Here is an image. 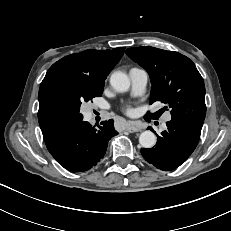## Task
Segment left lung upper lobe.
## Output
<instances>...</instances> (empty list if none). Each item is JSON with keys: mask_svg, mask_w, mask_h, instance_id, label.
I'll list each match as a JSON object with an SVG mask.
<instances>
[{"mask_svg": "<svg viewBox=\"0 0 231 231\" xmlns=\"http://www.w3.org/2000/svg\"><path fill=\"white\" fill-rule=\"evenodd\" d=\"M126 54L149 74L152 89L150 104L160 101L170 108L171 120L198 130L206 115L204 81L186 56L154 47L129 48ZM167 106L146 117L157 119Z\"/></svg>", "mask_w": 231, "mask_h": 231, "instance_id": "left-lung-upper-lobe-1", "label": "left lung upper lobe"}]
</instances>
